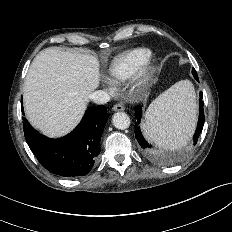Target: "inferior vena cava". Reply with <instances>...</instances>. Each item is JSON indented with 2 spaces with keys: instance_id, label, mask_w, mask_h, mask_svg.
Segmentation results:
<instances>
[{
  "instance_id": "602c4592",
  "label": "inferior vena cava",
  "mask_w": 232,
  "mask_h": 232,
  "mask_svg": "<svg viewBox=\"0 0 232 232\" xmlns=\"http://www.w3.org/2000/svg\"><path fill=\"white\" fill-rule=\"evenodd\" d=\"M89 98L97 104H105L110 101L109 94L104 90H97L91 93Z\"/></svg>"
}]
</instances>
